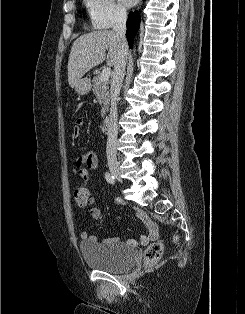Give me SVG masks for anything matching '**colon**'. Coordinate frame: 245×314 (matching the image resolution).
I'll use <instances>...</instances> for the list:
<instances>
[{"label": "colon", "instance_id": "1", "mask_svg": "<svg viewBox=\"0 0 245 314\" xmlns=\"http://www.w3.org/2000/svg\"><path fill=\"white\" fill-rule=\"evenodd\" d=\"M73 196L79 206H86L91 201V191L87 186H77L73 191ZM164 246L161 242L152 243L145 251L146 265L157 262L163 254Z\"/></svg>", "mask_w": 245, "mask_h": 314}]
</instances>
